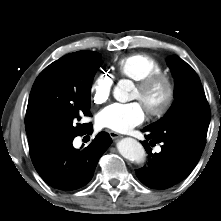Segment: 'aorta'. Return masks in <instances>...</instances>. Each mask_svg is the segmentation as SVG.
Listing matches in <instances>:
<instances>
[{"label":"aorta","mask_w":221,"mask_h":221,"mask_svg":"<svg viewBox=\"0 0 221 221\" xmlns=\"http://www.w3.org/2000/svg\"><path fill=\"white\" fill-rule=\"evenodd\" d=\"M133 84L129 80H122L115 87L113 95L119 102H126L129 99V92L132 90ZM119 153L126 159L142 163L145 160L146 152L143 146L135 139L127 137L117 143Z\"/></svg>","instance_id":"aorta-1"}]
</instances>
